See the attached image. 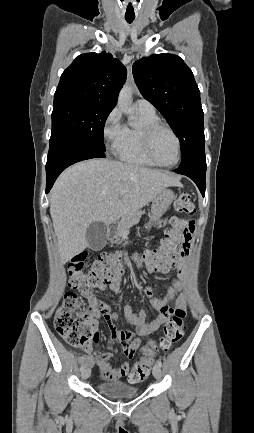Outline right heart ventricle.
Returning <instances> with one entry per match:
<instances>
[{
  "label": "right heart ventricle",
  "instance_id": "e07e8e85",
  "mask_svg": "<svg viewBox=\"0 0 254 433\" xmlns=\"http://www.w3.org/2000/svg\"><path fill=\"white\" fill-rule=\"evenodd\" d=\"M139 112L140 124L138 126H124L123 132L117 142L115 153L126 163L141 166H155L146 156L142 145V129L145 125L159 122L155 112Z\"/></svg>",
  "mask_w": 254,
  "mask_h": 433
}]
</instances>
